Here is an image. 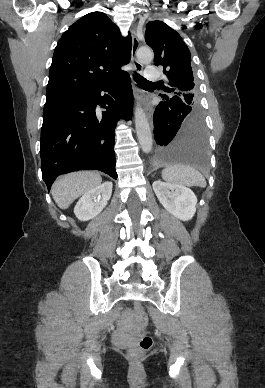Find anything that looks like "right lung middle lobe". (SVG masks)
I'll use <instances>...</instances> for the list:
<instances>
[{"label":"right lung middle lobe","mask_w":265,"mask_h":388,"mask_svg":"<svg viewBox=\"0 0 265 388\" xmlns=\"http://www.w3.org/2000/svg\"><path fill=\"white\" fill-rule=\"evenodd\" d=\"M49 103H51V102H46L45 104H49Z\"/></svg>","instance_id":"right-lung-middle-lobe-1"}]
</instances>
